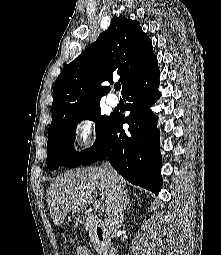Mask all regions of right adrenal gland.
<instances>
[{
    "label": "right adrenal gland",
    "instance_id": "1",
    "mask_svg": "<svg viewBox=\"0 0 221 255\" xmlns=\"http://www.w3.org/2000/svg\"><path fill=\"white\" fill-rule=\"evenodd\" d=\"M130 207V197L128 196V191H124V203H123V211L125 212Z\"/></svg>",
    "mask_w": 221,
    "mask_h": 255
}]
</instances>
